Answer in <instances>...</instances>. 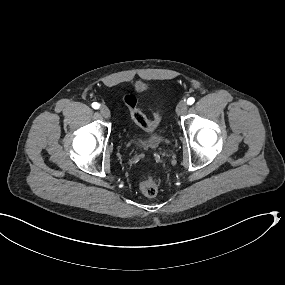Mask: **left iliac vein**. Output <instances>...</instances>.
I'll return each mask as SVG.
<instances>
[{
  "instance_id": "4c4485c4",
  "label": "left iliac vein",
  "mask_w": 285,
  "mask_h": 285,
  "mask_svg": "<svg viewBox=\"0 0 285 285\" xmlns=\"http://www.w3.org/2000/svg\"><path fill=\"white\" fill-rule=\"evenodd\" d=\"M188 110L187 103L185 101H180L176 108V114L178 116L185 115Z\"/></svg>"
}]
</instances>
